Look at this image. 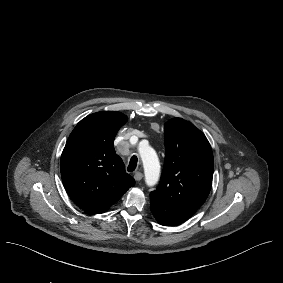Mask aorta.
<instances>
[{
	"mask_svg": "<svg viewBox=\"0 0 283 283\" xmlns=\"http://www.w3.org/2000/svg\"><path fill=\"white\" fill-rule=\"evenodd\" d=\"M139 154L143 162L145 182L148 186L157 183L160 176V163L155 150L148 144L139 147Z\"/></svg>",
	"mask_w": 283,
	"mask_h": 283,
	"instance_id": "1",
	"label": "aorta"
}]
</instances>
